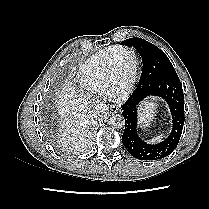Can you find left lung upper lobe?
Instances as JSON below:
<instances>
[{
    "instance_id": "left-lung-upper-lobe-1",
    "label": "left lung upper lobe",
    "mask_w": 209,
    "mask_h": 209,
    "mask_svg": "<svg viewBox=\"0 0 209 209\" xmlns=\"http://www.w3.org/2000/svg\"><path fill=\"white\" fill-rule=\"evenodd\" d=\"M121 44L136 48L142 57L143 71L138 86H149L160 77L176 74L166 54L152 43L135 37L124 40Z\"/></svg>"
}]
</instances>
